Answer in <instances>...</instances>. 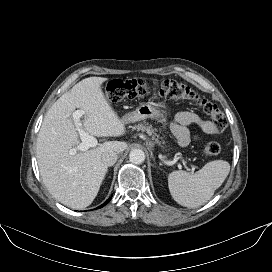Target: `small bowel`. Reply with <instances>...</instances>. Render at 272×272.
Masks as SVG:
<instances>
[{
  "instance_id": "c3829d8e",
  "label": "small bowel",
  "mask_w": 272,
  "mask_h": 272,
  "mask_svg": "<svg viewBox=\"0 0 272 272\" xmlns=\"http://www.w3.org/2000/svg\"><path fill=\"white\" fill-rule=\"evenodd\" d=\"M191 124L198 125L206 134H216L218 132L211 121L203 120L192 112H180L175 117L172 129L182 146H186L191 140L187 128Z\"/></svg>"
}]
</instances>
